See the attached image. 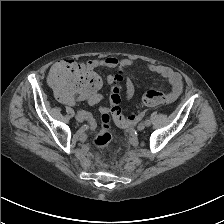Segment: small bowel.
Instances as JSON below:
<instances>
[{"mask_svg":"<svg viewBox=\"0 0 224 224\" xmlns=\"http://www.w3.org/2000/svg\"><path fill=\"white\" fill-rule=\"evenodd\" d=\"M133 65H135V62L130 59H118L116 57L92 59L84 64V66L89 70L97 67H108L116 69L118 73H122L124 69L132 67ZM146 67L151 72L157 73L167 80L168 84L170 85V91L168 93V103L178 98V96L182 92V77L178 72L174 71L170 67L153 63H146ZM113 79L114 77H110L109 80L113 81ZM125 87L126 99L130 100L135 93V86L130 78H126ZM136 119L137 116L135 115V120Z\"/></svg>","mask_w":224,"mask_h":224,"instance_id":"1","label":"small bowel"}]
</instances>
